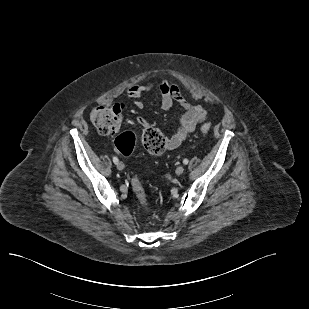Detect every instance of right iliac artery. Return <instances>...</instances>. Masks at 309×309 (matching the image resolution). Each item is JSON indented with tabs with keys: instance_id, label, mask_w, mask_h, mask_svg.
I'll list each match as a JSON object with an SVG mask.
<instances>
[{
	"instance_id": "right-iliac-artery-1",
	"label": "right iliac artery",
	"mask_w": 309,
	"mask_h": 309,
	"mask_svg": "<svg viewBox=\"0 0 309 309\" xmlns=\"http://www.w3.org/2000/svg\"><path fill=\"white\" fill-rule=\"evenodd\" d=\"M113 162H114L115 164L118 163V158H117L116 156L113 157Z\"/></svg>"
}]
</instances>
